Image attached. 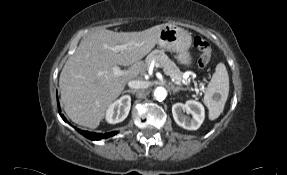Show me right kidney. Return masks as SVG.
<instances>
[{"label":"right kidney","mask_w":287,"mask_h":175,"mask_svg":"<svg viewBox=\"0 0 287 175\" xmlns=\"http://www.w3.org/2000/svg\"><path fill=\"white\" fill-rule=\"evenodd\" d=\"M131 107V97L125 95L113 102L106 111V121L116 124L123 121L129 114Z\"/></svg>","instance_id":"1"}]
</instances>
